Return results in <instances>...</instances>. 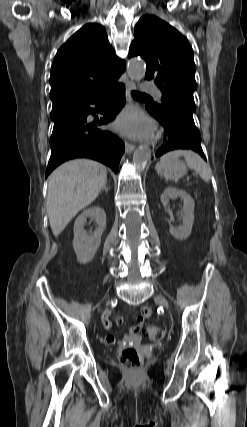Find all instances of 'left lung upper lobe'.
<instances>
[{
    "mask_svg": "<svg viewBox=\"0 0 247 427\" xmlns=\"http://www.w3.org/2000/svg\"><path fill=\"white\" fill-rule=\"evenodd\" d=\"M141 56L147 64L146 80H154L162 92V105L151 107L163 112L167 107L193 114L195 63L186 37L154 15H144L135 26L128 57Z\"/></svg>",
    "mask_w": 247,
    "mask_h": 427,
    "instance_id": "left-lung-upper-lobe-1",
    "label": "left lung upper lobe"
}]
</instances>
